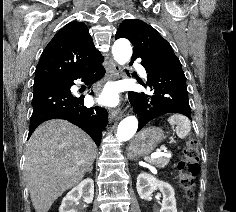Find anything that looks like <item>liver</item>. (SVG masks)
<instances>
[{"label":"liver","mask_w":236,"mask_h":212,"mask_svg":"<svg viewBox=\"0 0 236 212\" xmlns=\"http://www.w3.org/2000/svg\"><path fill=\"white\" fill-rule=\"evenodd\" d=\"M97 147L66 120L44 122L26 145L25 178L36 212H48L65 191L77 185L93 164Z\"/></svg>","instance_id":"6515ba94"}]
</instances>
